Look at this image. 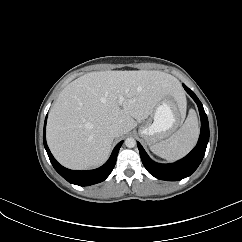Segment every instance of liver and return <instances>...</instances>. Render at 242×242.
Here are the masks:
<instances>
[{"label": "liver", "instance_id": "1", "mask_svg": "<svg viewBox=\"0 0 242 242\" xmlns=\"http://www.w3.org/2000/svg\"><path fill=\"white\" fill-rule=\"evenodd\" d=\"M119 96L124 98L122 103ZM166 97L186 106L179 81L162 71L87 73L69 83L52 106L47 122L48 146L65 167H98L108 159L118 138L111 135V126H120L122 135L128 133Z\"/></svg>", "mask_w": 242, "mask_h": 242}]
</instances>
